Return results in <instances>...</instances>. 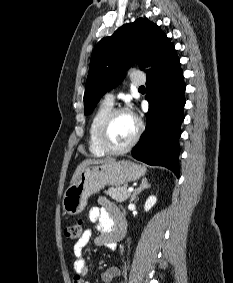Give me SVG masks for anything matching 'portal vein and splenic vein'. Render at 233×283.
Returning a JSON list of instances; mask_svg holds the SVG:
<instances>
[{
    "label": "portal vein and splenic vein",
    "instance_id": "18ae733b",
    "mask_svg": "<svg viewBox=\"0 0 233 283\" xmlns=\"http://www.w3.org/2000/svg\"><path fill=\"white\" fill-rule=\"evenodd\" d=\"M133 190H134V188H132V187H130V188H128V192H133Z\"/></svg>",
    "mask_w": 233,
    "mask_h": 283
}]
</instances>
